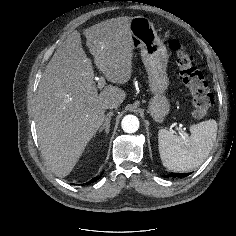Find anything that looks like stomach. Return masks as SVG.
Listing matches in <instances>:
<instances>
[{"instance_id":"obj_1","label":"stomach","mask_w":236,"mask_h":236,"mask_svg":"<svg viewBox=\"0 0 236 236\" xmlns=\"http://www.w3.org/2000/svg\"><path fill=\"white\" fill-rule=\"evenodd\" d=\"M129 30L133 48L140 49L142 62L148 74L149 89L153 95L148 112L154 121L162 123L170 112V102L165 95L169 86L166 73L167 49L149 19L142 16L133 17L129 22Z\"/></svg>"}]
</instances>
